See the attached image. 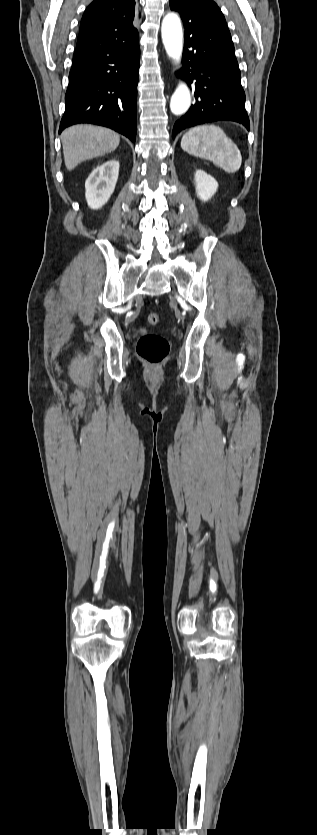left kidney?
Here are the masks:
<instances>
[{
	"label": "left kidney",
	"instance_id": "left-kidney-1",
	"mask_svg": "<svg viewBox=\"0 0 317 835\" xmlns=\"http://www.w3.org/2000/svg\"><path fill=\"white\" fill-rule=\"evenodd\" d=\"M195 189L199 199L206 202L216 193L218 183L205 171L198 169L195 173Z\"/></svg>",
	"mask_w": 317,
	"mask_h": 835
}]
</instances>
